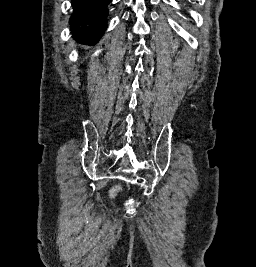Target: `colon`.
<instances>
[{
    "label": "colon",
    "mask_w": 256,
    "mask_h": 267,
    "mask_svg": "<svg viewBox=\"0 0 256 267\" xmlns=\"http://www.w3.org/2000/svg\"><path fill=\"white\" fill-rule=\"evenodd\" d=\"M120 191H121L120 185H114V186H112V188L109 192V196L114 198V197L119 195Z\"/></svg>",
    "instance_id": "obj_1"
}]
</instances>
